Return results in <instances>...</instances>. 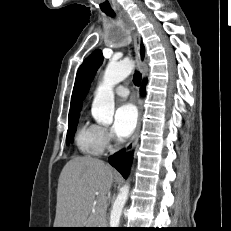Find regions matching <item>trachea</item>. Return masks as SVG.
Instances as JSON below:
<instances>
[{"label": "trachea", "instance_id": "1", "mask_svg": "<svg viewBox=\"0 0 231 231\" xmlns=\"http://www.w3.org/2000/svg\"><path fill=\"white\" fill-rule=\"evenodd\" d=\"M106 15L110 16V17H115V13H113V12H107ZM141 79H142L141 73L139 71H136L135 74H134V76H133V83L136 86H140Z\"/></svg>", "mask_w": 231, "mask_h": 231}]
</instances>
